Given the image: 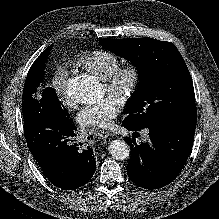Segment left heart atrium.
I'll return each mask as SVG.
<instances>
[{"label": "left heart atrium", "instance_id": "left-heart-atrium-1", "mask_svg": "<svg viewBox=\"0 0 219 219\" xmlns=\"http://www.w3.org/2000/svg\"><path fill=\"white\" fill-rule=\"evenodd\" d=\"M120 111V104L113 96H107L96 103L85 106L77 115V121L83 128H108Z\"/></svg>", "mask_w": 219, "mask_h": 219}]
</instances>
